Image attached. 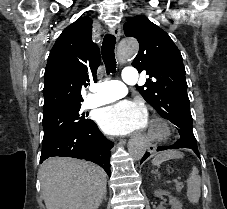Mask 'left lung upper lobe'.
<instances>
[{
    "label": "left lung upper lobe",
    "mask_w": 227,
    "mask_h": 209,
    "mask_svg": "<svg viewBox=\"0 0 227 209\" xmlns=\"http://www.w3.org/2000/svg\"><path fill=\"white\" fill-rule=\"evenodd\" d=\"M124 32L135 37L140 45L132 66L149 75L143 86H136L137 90L164 119L177 127L179 141L197 148L180 51L170 36L144 15L128 19Z\"/></svg>",
    "instance_id": "obj_1"
}]
</instances>
